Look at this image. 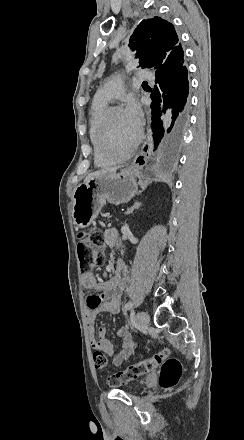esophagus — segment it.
<instances>
[{
  "label": "esophagus",
  "mask_w": 244,
  "mask_h": 440,
  "mask_svg": "<svg viewBox=\"0 0 244 440\" xmlns=\"http://www.w3.org/2000/svg\"><path fill=\"white\" fill-rule=\"evenodd\" d=\"M152 150V142L151 138L148 135L145 142L143 143L140 152L138 155L134 158L133 162L128 168H138L141 169L146 165L148 158L150 156Z\"/></svg>",
  "instance_id": "1"
}]
</instances>
